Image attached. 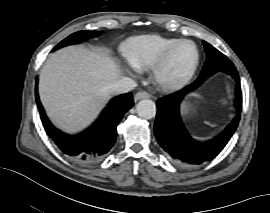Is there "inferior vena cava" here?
<instances>
[{
    "label": "inferior vena cava",
    "mask_w": 270,
    "mask_h": 213,
    "mask_svg": "<svg viewBox=\"0 0 270 213\" xmlns=\"http://www.w3.org/2000/svg\"><path fill=\"white\" fill-rule=\"evenodd\" d=\"M137 86L136 82L129 77H122L112 84V92L123 94L133 90Z\"/></svg>",
    "instance_id": "602c4592"
}]
</instances>
